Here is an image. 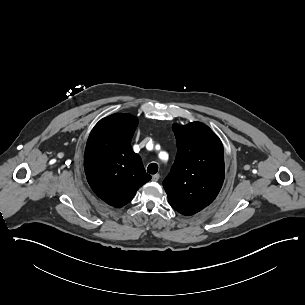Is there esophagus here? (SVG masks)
<instances>
[{
  "mask_svg": "<svg viewBox=\"0 0 305 305\" xmlns=\"http://www.w3.org/2000/svg\"><path fill=\"white\" fill-rule=\"evenodd\" d=\"M159 178H160V175H159V174L153 175V176H152V181H153V182H156V181L159 180Z\"/></svg>",
  "mask_w": 305,
  "mask_h": 305,
  "instance_id": "obj_1",
  "label": "esophagus"
}]
</instances>
